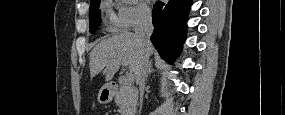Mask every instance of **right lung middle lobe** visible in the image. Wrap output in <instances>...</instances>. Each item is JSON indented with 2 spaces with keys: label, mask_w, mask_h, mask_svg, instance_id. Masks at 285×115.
Returning <instances> with one entry per match:
<instances>
[{
  "label": "right lung middle lobe",
  "mask_w": 285,
  "mask_h": 115,
  "mask_svg": "<svg viewBox=\"0 0 285 115\" xmlns=\"http://www.w3.org/2000/svg\"><path fill=\"white\" fill-rule=\"evenodd\" d=\"M101 0H94L90 3V32L94 33L100 25L101 13L99 4Z\"/></svg>",
  "instance_id": "obj_1"
}]
</instances>
